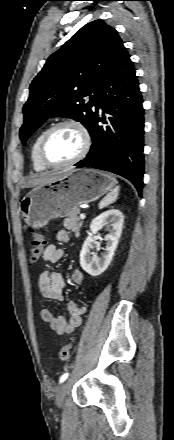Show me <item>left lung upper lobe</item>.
I'll return each instance as SVG.
<instances>
[{"label": "left lung upper lobe", "instance_id": "1", "mask_svg": "<svg viewBox=\"0 0 174 440\" xmlns=\"http://www.w3.org/2000/svg\"><path fill=\"white\" fill-rule=\"evenodd\" d=\"M124 49L117 31L95 20L53 53L30 85L20 129L23 144L48 118L59 115L88 128L105 77Z\"/></svg>", "mask_w": 174, "mask_h": 440}]
</instances>
